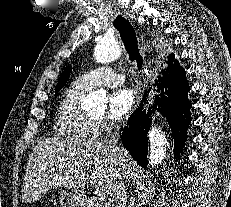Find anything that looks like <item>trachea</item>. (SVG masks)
<instances>
[{"label":"trachea","instance_id":"obj_1","mask_svg":"<svg viewBox=\"0 0 231 207\" xmlns=\"http://www.w3.org/2000/svg\"><path fill=\"white\" fill-rule=\"evenodd\" d=\"M113 24L120 33L125 49L129 55V59L132 62H136L137 68L140 70L142 68L143 58L138 48V40L133 26L121 15H118L115 18Z\"/></svg>","mask_w":231,"mask_h":207}]
</instances>
